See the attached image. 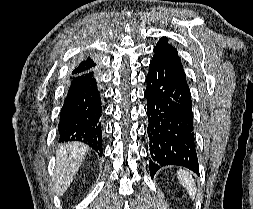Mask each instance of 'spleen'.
Instances as JSON below:
<instances>
[{"label": "spleen", "mask_w": 253, "mask_h": 209, "mask_svg": "<svg viewBox=\"0 0 253 209\" xmlns=\"http://www.w3.org/2000/svg\"><path fill=\"white\" fill-rule=\"evenodd\" d=\"M179 182L183 185L184 188L187 189L189 196L194 199L195 198V183L192 178V175L188 171H180L178 172Z\"/></svg>", "instance_id": "1"}]
</instances>
